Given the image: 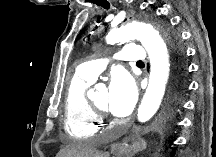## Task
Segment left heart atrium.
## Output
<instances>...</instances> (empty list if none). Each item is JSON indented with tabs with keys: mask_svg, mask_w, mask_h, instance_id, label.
<instances>
[{
	"mask_svg": "<svg viewBox=\"0 0 216 157\" xmlns=\"http://www.w3.org/2000/svg\"><path fill=\"white\" fill-rule=\"evenodd\" d=\"M138 98V91L133 79L123 71L113 73L109 88L107 108L116 116L129 115Z\"/></svg>",
	"mask_w": 216,
	"mask_h": 157,
	"instance_id": "left-heart-atrium-1",
	"label": "left heart atrium"
}]
</instances>
